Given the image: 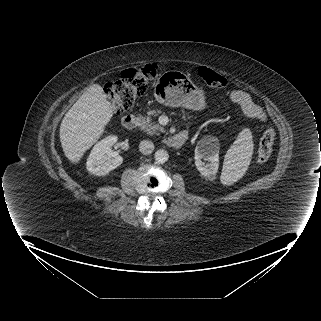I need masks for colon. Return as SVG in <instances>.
I'll return each mask as SVG.
<instances>
[{
  "mask_svg": "<svg viewBox=\"0 0 321 321\" xmlns=\"http://www.w3.org/2000/svg\"><path fill=\"white\" fill-rule=\"evenodd\" d=\"M157 73L158 66L149 63L124 70L118 80L107 84L105 92L111 100L114 114L119 116L130 111L136 99L147 91L150 81ZM198 75L210 87L218 89L227 87V80L206 66L199 67ZM274 138V130L266 129L259 143L257 156L259 163H265L271 157Z\"/></svg>",
  "mask_w": 321,
  "mask_h": 321,
  "instance_id": "obj_1",
  "label": "colon"
}]
</instances>
